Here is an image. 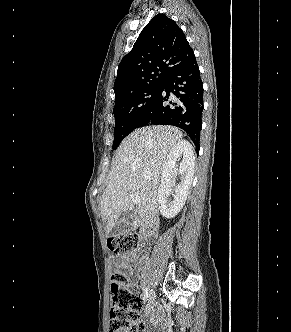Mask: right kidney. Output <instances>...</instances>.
Masks as SVG:
<instances>
[{"instance_id": "1", "label": "right kidney", "mask_w": 291, "mask_h": 332, "mask_svg": "<svg viewBox=\"0 0 291 332\" xmlns=\"http://www.w3.org/2000/svg\"><path fill=\"white\" fill-rule=\"evenodd\" d=\"M180 158L181 162L178 164ZM195 157L192 146L187 141L178 142L167 156L161 175V184L158 189L157 200L161 214L165 218L175 217L183 208L194 175ZM180 175L181 182L175 186L172 202L168 197L175 184L174 178Z\"/></svg>"}]
</instances>
